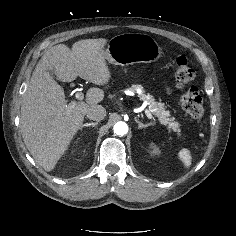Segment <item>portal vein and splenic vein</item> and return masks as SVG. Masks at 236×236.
<instances>
[{"label": "portal vein and splenic vein", "instance_id": "obj_1", "mask_svg": "<svg viewBox=\"0 0 236 236\" xmlns=\"http://www.w3.org/2000/svg\"><path fill=\"white\" fill-rule=\"evenodd\" d=\"M75 97H76L77 100H80V101H81V100H83L84 95H83L82 92H77V93L75 94ZM145 114H146V116H147L150 120H153V116H152V114L150 113L149 110H145Z\"/></svg>", "mask_w": 236, "mask_h": 236}]
</instances>
